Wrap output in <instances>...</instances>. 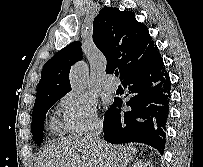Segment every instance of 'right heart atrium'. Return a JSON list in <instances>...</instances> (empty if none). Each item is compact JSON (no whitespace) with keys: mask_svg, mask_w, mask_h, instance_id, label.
I'll return each instance as SVG.
<instances>
[{"mask_svg":"<svg viewBox=\"0 0 203 167\" xmlns=\"http://www.w3.org/2000/svg\"><path fill=\"white\" fill-rule=\"evenodd\" d=\"M58 109L65 131L80 135L101 126L95 99L85 93L68 92L59 101Z\"/></svg>","mask_w":203,"mask_h":167,"instance_id":"1","label":"right heart atrium"}]
</instances>
